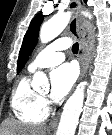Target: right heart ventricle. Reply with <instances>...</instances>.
Wrapping results in <instances>:
<instances>
[{"label": "right heart ventricle", "mask_w": 112, "mask_h": 135, "mask_svg": "<svg viewBox=\"0 0 112 135\" xmlns=\"http://www.w3.org/2000/svg\"><path fill=\"white\" fill-rule=\"evenodd\" d=\"M11 109L16 118L28 124H39L46 120L48 109L41 96L32 88L29 75L21 78L13 90Z\"/></svg>", "instance_id": "1"}]
</instances>
